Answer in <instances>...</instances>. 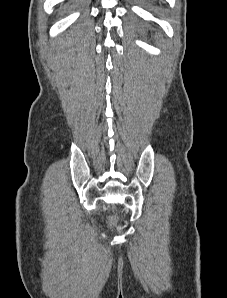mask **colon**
Returning <instances> with one entry per match:
<instances>
[{
  "mask_svg": "<svg viewBox=\"0 0 227 298\" xmlns=\"http://www.w3.org/2000/svg\"><path fill=\"white\" fill-rule=\"evenodd\" d=\"M116 221H117V217H116L115 215H112V216H110L109 219H108V224H109L110 226H113V225L116 224Z\"/></svg>",
  "mask_w": 227,
  "mask_h": 298,
  "instance_id": "colon-1",
  "label": "colon"
}]
</instances>
